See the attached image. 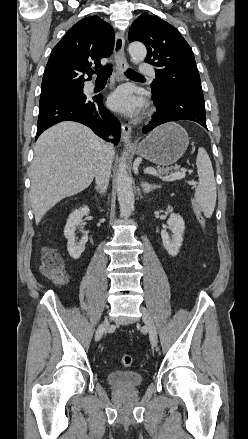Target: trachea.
Here are the masks:
<instances>
[{
	"label": "trachea",
	"mask_w": 248,
	"mask_h": 439,
	"mask_svg": "<svg viewBox=\"0 0 248 439\" xmlns=\"http://www.w3.org/2000/svg\"><path fill=\"white\" fill-rule=\"evenodd\" d=\"M98 80H107L112 74V65H106L101 69L95 71ZM125 75L128 77H143L141 74L135 72L132 69H128L125 72Z\"/></svg>",
	"instance_id": "trachea-1"
}]
</instances>
